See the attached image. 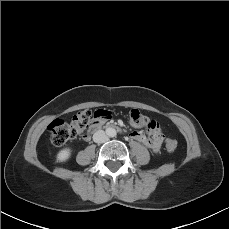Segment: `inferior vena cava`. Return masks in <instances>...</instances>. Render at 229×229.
I'll use <instances>...</instances> for the list:
<instances>
[{
  "label": "inferior vena cava",
  "mask_w": 229,
  "mask_h": 229,
  "mask_svg": "<svg viewBox=\"0 0 229 229\" xmlns=\"http://www.w3.org/2000/svg\"><path fill=\"white\" fill-rule=\"evenodd\" d=\"M107 140H108V136L103 130H98L93 135V141L95 143L100 144L106 142Z\"/></svg>",
  "instance_id": "inferior-vena-cava-1"
}]
</instances>
